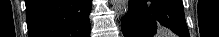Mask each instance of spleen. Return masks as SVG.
I'll list each match as a JSON object with an SVG mask.
<instances>
[{
  "mask_svg": "<svg viewBox=\"0 0 219 37\" xmlns=\"http://www.w3.org/2000/svg\"><path fill=\"white\" fill-rule=\"evenodd\" d=\"M157 35L158 36H156V37H175V36H171L172 34L168 33V31L166 29H163V28L159 29ZM161 35H164V36H161Z\"/></svg>",
  "mask_w": 219,
  "mask_h": 37,
  "instance_id": "3e777b00",
  "label": "spleen"
}]
</instances>
